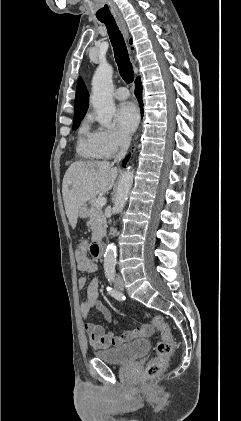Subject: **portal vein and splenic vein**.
<instances>
[{
	"label": "portal vein and splenic vein",
	"mask_w": 241,
	"mask_h": 421,
	"mask_svg": "<svg viewBox=\"0 0 241 421\" xmlns=\"http://www.w3.org/2000/svg\"><path fill=\"white\" fill-rule=\"evenodd\" d=\"M106 204V198L105 197H99L95 200V205L97 207L102 208Z\"/></svg>",
	"instance_id": "portal-vein-and-splenic-vein-1"
}]
</instances>
